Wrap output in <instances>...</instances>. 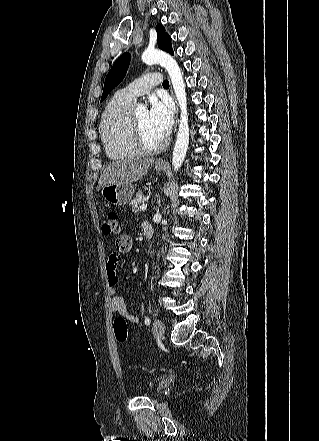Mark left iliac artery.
I'll use <instances>...</instances> for the list:
<instances>
[{
	"mask_svg": "<svg viewBox=\"0 0 319 441\" xmlns=\"http://www.w3.org/2000/svg\"><path fill=\"white\" fill-rule=\"evenodd\" d=\"M144 322H145L146 325H149V324H150V319H149V317H145Z\"/></svg>",
	"mask_w": 319,
	"mask_h": 441,
	"instance_id": "1",
	"label": "left iliac artery"
}]
</instances>
